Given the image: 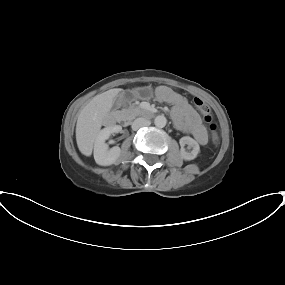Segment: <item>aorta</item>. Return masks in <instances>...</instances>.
Wrapping results in <instances>:
<instances>
[{"label": "aorta", "mask_w": 285, "mask_h": 285, "mask_svg": "<svg viewBox=\"0 0 285 285\" xmlns=\"http://www.w3.org/2000/svg\"><path fill=\"white\" fill-rule=\"evenodd\" d=\"M167 123V119L164 115H158L155 119H154V124L156 127L158 128H163L166 126Z\"/></svg>", "instance_id": "1"}]
</instances>
